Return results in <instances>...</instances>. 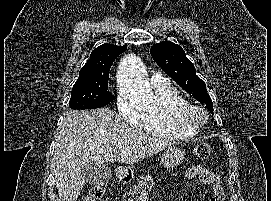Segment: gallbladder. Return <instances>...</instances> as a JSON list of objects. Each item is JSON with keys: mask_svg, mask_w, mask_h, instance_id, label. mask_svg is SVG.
Instances as JSON below:
<instances>
[{"mask_svg": "<svg viewBox=\"0 0 271 201\" xmlns=\"http://www.w3.org/2000/svg\"><path fill=\"white\" fill-rule=\"evenodd\" d=\"M81 174L87 183L98 184L111 177V169L108 164L89 163L82 169Z\"/></svg>", "mask_w": 271, "mask_h": 201, "instance_id": "1", "label": "gallbladder"}]
</instances>
